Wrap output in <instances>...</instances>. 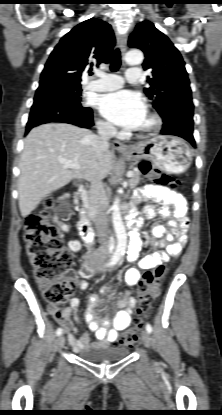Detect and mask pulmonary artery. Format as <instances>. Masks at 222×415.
<instances>
[{
	"mask_svg": "<svg viewBox=\"0 0 222 415\" xmlns=\"http://www.w3.org/2000/svg\"><path fill=\"white\" fill-rule=\"evenodd\" d=\"M97 80L91 81L87 84L86 88L95 92H106L120 88L123 85L121 77L113 74L97 73ZM141 73L140 68L134 67L126 72V80L130 83L138 82Z\"/></svg>",
	"mask_w": 222,
	"mask_h": 415,
	"instance_id": "obj_1",
	"label": "pulmonary artery"
}]
</instances>
